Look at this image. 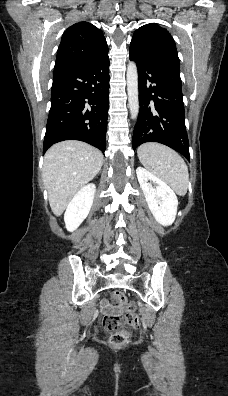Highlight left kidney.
<instances>
[{
  "label": "left kidney",
  "mask_w": 228,
  "mask_h": 396,
  "mask_svg": "<svg viewBox=\"0 0 228 396\" xmlns=\"http://www.w3.org/2000/svg\"><path fill=\"white\" fill-rule=\"evenodd\" d=\"M136 174L148 207L156 221L163 226L171 225L175 220L178 206L174 191L143 167H138Z\"/></svg>",
  "instance_id": "left-kidney-1"
}]
</instances>
